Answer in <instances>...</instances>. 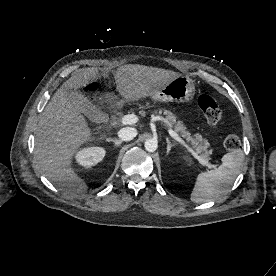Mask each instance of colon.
Wrapping results in <instances>:
<instances>
[{
    "instance_id": "5ec220e1",
    "label": "colon",
    "mask_w": 276,
    "mask_h": 276,
    "mask_svg": "<svg viewBox=\"0 0 276 276\" xmlns=\"http://www.w3.org/2000/svg\"><path fill=\"white\" fill-rule=\"evenodd\" d=\"M198 105L211 125H221L224 122L223 114L217 101L208 93L202 92L198 95ZM224 147L229 151L238 150L240 140L236 135H228L224 140Z\"/></svg>"
}]
</instances>
